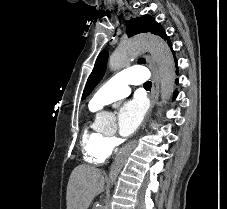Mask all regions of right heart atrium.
<instances>
[{
  "label": "right heart atrium",
  "instance_id": "1",
  "mask_svg": "<svg viewBox=\"0 0 227 209\" xmlns=\"http://www.w3.org/2000/svg\"><path fill=\"white\" fill-rule=\"evenodd\" d=\"M110 141H111L113 146L116 144V140L114 138H110Z\"/></svg>",
  "mask_w": 227,
  "mask_h": 209
}]
</instances>
